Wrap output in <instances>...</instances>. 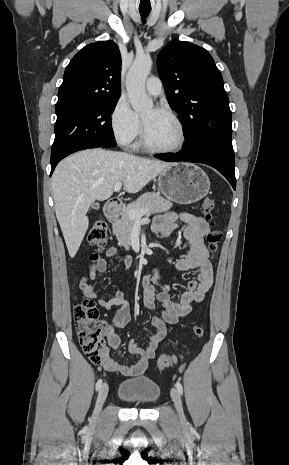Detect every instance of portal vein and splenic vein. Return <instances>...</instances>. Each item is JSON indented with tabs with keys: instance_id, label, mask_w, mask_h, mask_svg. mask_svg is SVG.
<instances>
[{
	"instance_id": "1",
	"label": "portal vein and splenic vein",
	"mask_w": 289,
	"mask_h": 465,
	"mask_svg": "<svg viewBox=\"0 0 289 465\" xmlns=\"http://www.w3.org/2000/svg\"><path fill=\"white\" fill-rule=\"evenodd\" d=\"M122 187V183L121 182H118L115 184L114 186V192H119L120 189ZM147 212V210H135V209H131L129 210V217L131 220H133L134 222H139L141 221L142 217L145 215V213Z\"/></svg>"
}]
</instances>
